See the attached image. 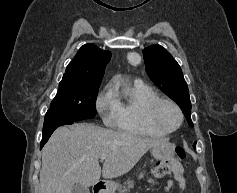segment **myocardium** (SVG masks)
I'll list each match as a JSON object with an SVG mask.
<instances>
[{"instance_id": "obj_1", "label": "myocardium", "mask_w": 237, "mask_h": 193, "mask_svg": "<svg viewBox=\"0 0 237 193\" xmlns=\"http://www.w3.org/2000/svg\"><path fill=\"white\" fill-rule=\"evenodd\" d=\"M164 104H168V105L172 106L179 115V123L174 128L166 127L165 125H163L160 122V120L158 118V112H159L161 106ZM146 121L153 128H155L159 131H162L166 134H169V133H173V132L177 131L182 126L183 121H184V115H183V112H182L181 108L179 107V105L176 102H174L173 100L168 99V98H157L156 100L151 102L146 109Z\"/></svg>"}]
</instances>
